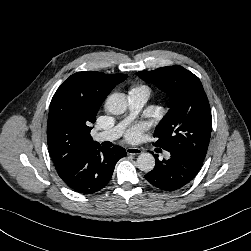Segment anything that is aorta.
Listing matches in <instances>:
<instances>
[{
  "instance_id": "1",
  "label": "aorta",
  "mask_w": 251,
  "mask_h": 251,
  "mask_svg": "<svg viewBox=\"0 0 251 251\" xmlns=\"http://www.w3.org/2000/svg\"><path fill=\"white\" fill-rule=\"evenodd\" d=\"M128 107V102L123 94H112L106 102V110L113 115L123 114ZM137 167L143 172H150L155 167V158L150 153H141L137 158Z\"/></svg>"
}]
</instances>
